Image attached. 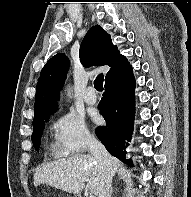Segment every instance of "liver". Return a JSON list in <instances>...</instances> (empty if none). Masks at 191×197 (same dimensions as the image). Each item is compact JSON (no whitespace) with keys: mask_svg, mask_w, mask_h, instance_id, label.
Returning a JSON list of instances; mask_svg holds the SVG:
<instances>
[{"mask_svg":"<svg viewBox=\"0 0 191 197\" xmlns=\"http://www.w3.org/2000/svg\"><path fill=\"white\" fill-rule=\"evenodd\" d=\"M114 173L119 161L113 158ZM90 177L88 189L94 195L100 192L103 169L93 155H75L45 164L34 174V186L49 184L63 191L80 194L84 189V179Z\"/></svg>","mask_w":191,"mask_h":197,"instance_id":"obj_1","label":"liver"}]
</instances>
